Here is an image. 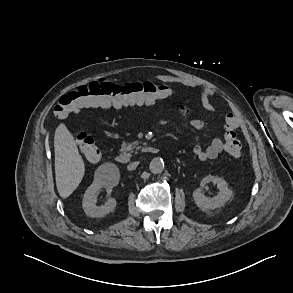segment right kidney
Here are the masks:
<instances>
[{"mask_svg": "<svg viewBox=\"0 0 293 293\" xmlns=\"http://www.w3.org/2000/svg\"><path fill=\"white\" fill-rule=\"evenodd\" d=\"M110 170L115 174L114 180H107L100 177L95 178L93 183L87 188L84 194V198L82 201V207L86 215L90 217H97L101 218L107 215L108 213L112 212L116 207V200L114 198H110L105 205L101 207L96 206V198L95 193L102 187L105 188H113L117 184L119 178V171L118 168L109 165Z\"/></svg>", "mask_w": 293, "mask_h": 293, "instance_id": "1", "label": "right kidney"}]
</instances>
